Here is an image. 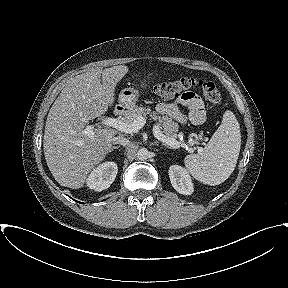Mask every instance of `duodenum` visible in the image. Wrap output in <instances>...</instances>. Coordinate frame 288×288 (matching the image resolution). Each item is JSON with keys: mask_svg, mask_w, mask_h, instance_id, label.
<instances>
[{"mask_svg": "<svg viewBox=\"0 0 288 288\" xmlns=\"http://www.w3.org/2000/svg\"><path fill=\"white\" fill-rule=\"evenodd\" d=\"M124 113V110H123V108H121V107H118V108H116L115 110H114V115L115 116H120V115H122Z\"/></svg>", "mask_w": 288, "mask_h": 288, "instance_id": "obj_1", "label": "duodenum"}]
</instances>
